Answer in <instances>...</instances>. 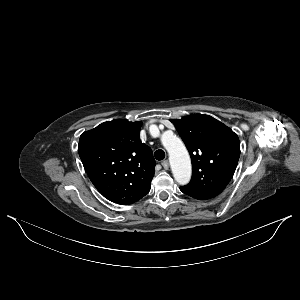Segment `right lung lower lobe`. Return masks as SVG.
I'll return each mask as SVG.
<instances>
[{
	"label": "right lung lower lobe",
	"mask_w": 300,
	"mask_h": 300,
	"mask_svg": "<svg viewBox=\"0 0 300 300\" xmlns=\"http://www.w3.org/2000/svg\"><path fill=\"white\" fill-rule=\"evenodd\" d=\"M136 201H138V200H136ZM136 201H132V202H129V203H126V204H131V203H134V202H136Z\"/></svg>",
	"instance_id": "1"
}]
</instances>
